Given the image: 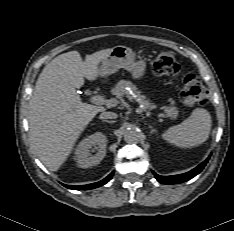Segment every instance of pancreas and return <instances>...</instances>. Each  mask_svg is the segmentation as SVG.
<instances>
[{
    "mask_svg": "<svg viewBox=\"0 0 234 231\" xmlns=\"http://www.w3.org/2000/svg\"><path fill=\"white\" fill-rule=\"evenodd\" d=\"M129 87L130 90L135 94V97L133 98L130 96L126 88ZM112 94L115 95L117 98H121L124 95H127L129 99H136L139 101L140 105L144 106L145 110H151L154 109L156 106L150 103L148 100L145 99V96L141 95V92L137 90V87L130 81L126 80H120L116 86L112 89ZM166 115L171 118H176L178 115V111L175 107H167L165 109Z\"/></svg>",
    "mask_w": 234,
    "mask_h": 231,
    "instance_id": "cf45deb5",
    "label": "pancreas"
}]
</instances>
